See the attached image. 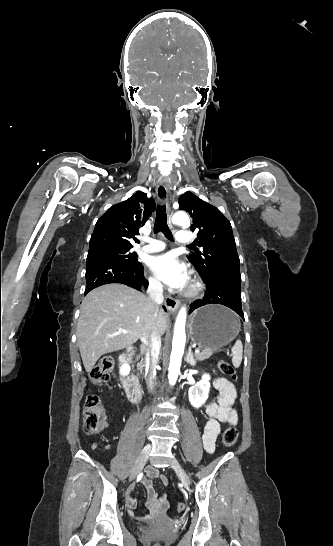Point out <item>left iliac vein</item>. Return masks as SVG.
<instances>
[{"label":"left iliac vein","instance_id":"4c4485c4","mask_svg":"<svg viewBox=\"0 0 333 546\" xmlns=\"http://www.w3.org/2000/svg\"><path fill=\"white\" fill-rule=\"evenodd\" d=\"M171 467L173 468V470L176 472V474L178 475V477L181 479L182 483L184 485H189L190 484V479H189V476L188 474L186 473V471L182 468V466L180 465V463L178 462V460L176 458H173L171 460Z\"/></svg>","mask_w":333,"mask_h":546}]
</instances>
